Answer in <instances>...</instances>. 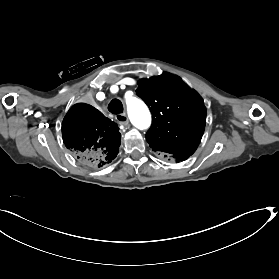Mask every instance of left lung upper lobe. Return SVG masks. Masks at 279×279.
Returning <instances> with one entry per match:
<instances>
[{"mask_svg":"<svg viewBox=\"0 0 279 279\" xmlns=\"http://www.w3.org/2000/svg\"><path fill=\"white\" fill-rule=\"evenodd\" d=\"M138 85L136 93L153 118L146 141L165 157L191 156L205 129L203 100L179 77L168 73L141 79Z\"/></svg>","mask_w":279,"mask_h":279,"instance_id":"5c2ea615","label":"left lung upper lobe"}]
</instances>
